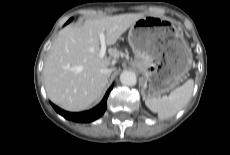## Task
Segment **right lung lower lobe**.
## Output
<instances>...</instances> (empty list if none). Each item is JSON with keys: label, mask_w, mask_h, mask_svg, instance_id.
<instances>
[{"label": "right lung lower lobe", "mask_w": 230, "mask_h": 155, "mask_svg": "<svg viewBox=\"0 0 230 155\" xmlns=\"http://www.w3.org/2000/svg\"><path fill=\"white\" fill-rule=\"evenodd\" d=\"M111 90H112V86L106 92L101 103L89 111H84L80 113H71L60 109L59 107L55 106L52 103L51 105L59 114H61L64 118L68 120H72L75 122H91L98 119L105 112L107 108V98Z\"/></svg>", "instance_id": "right-lung-lower-lobe-1"}]
</instances>
